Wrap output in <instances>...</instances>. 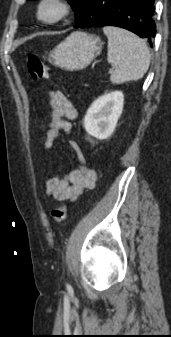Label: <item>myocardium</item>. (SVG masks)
<instances>
[{
    "instance_id": "myocardium-1",
    "label": "myocardium",
    "mask_w": 171,
    "mask_h": 337,
    "mask_svg": "<svg viewBox=\"0 0 171 337\" xmlns=\"http://www.w3.org/2000/svg\"><path fill=\"white\" fill-rule=\"evenodd\" d=\"M53 6L56 14L52 17H45L43 11L46 7ZM73 4L71 0H39L36 5V19L45 25H56L65 20L72 12Z\"/></svg>"
}]
</instances>
